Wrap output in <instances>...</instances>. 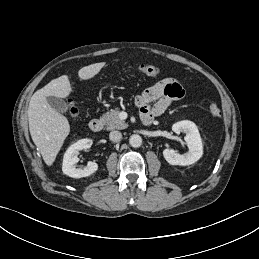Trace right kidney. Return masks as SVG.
Returning <instances> with one entry per match:
<instances>
[{"label": "right kidney", "instance_id": "ca27d5eb", "mask_svg": "<svg viewBox=\"0 0 259 259\" xmlns=\"http://www.w3.org/2000/svg\"><path fill=\"white\" fill-rule=\"evenodd\" d=\"M93 144L91 139H81L72 144L64 154L62 171L64 174L72 178H82L90 176L98 169V165L95 162H88L84 168H76V164L79 161L78 154L80 150L90 148Z\"/></svg>", "mask_w": 259, "mask_h": 259}]
</instances>
